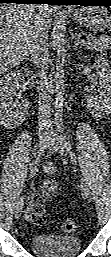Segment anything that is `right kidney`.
<instances>
[{"label": "right kidney", "instance_id": "1", "mask_svg": "<svg viewBox=\"0 0 111 257\" xmlns=\"http://www.w3.org/2000/svg\"><path fill=\"white\" fill-rule=\"evenodd\" d=\"M25 72H28V68H24ZM25 77L23 70L11 71L4 75L0 81V100H1V122L9 124L13 121L17 114L21 113L20 109H25L28 105L27 101L22 100L21 102L17 99L14 101V91L19 88V83L24 82Z\"/></svg>", "mask_w": 111, "mask_h": 257}]
</instances>
